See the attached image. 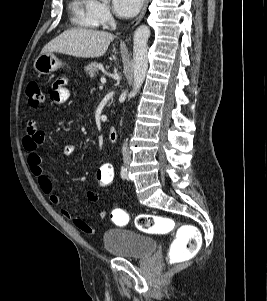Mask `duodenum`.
Masks as SVG:
<instances>
[{"mask_svg": "<svg viewBox=\"0 0 267 301\" xmlns=\"http://www.w3.org/2000/svg\"><path fill=\"white\" fill-rule=\"evenodd\" d=\"M118 137V131L116 128H110L108 131V140L110 142H115Z\"/></svg>", "mask_w": 267, "mask_h": 301, "instance_id": "obj_1", "label": "duodenum"}]
</instances>
